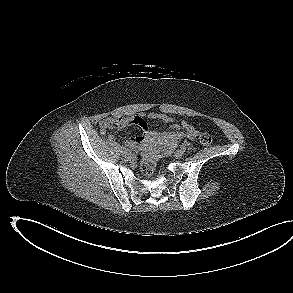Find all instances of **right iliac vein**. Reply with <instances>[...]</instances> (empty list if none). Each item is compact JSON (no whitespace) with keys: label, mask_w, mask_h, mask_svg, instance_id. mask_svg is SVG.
Returning <instances> with one entry per match:
<instances>
[{"label":"right iliac vein","mask_w":293,"mask_h":293,"mask_svg":"<svg viewBox=\"0 0 293 293\" xmlns=\"http://www.w3.org/2000/svg\"><path fill=\"white\" fill-rule=\"evenodd\" d=\"M122 155L124 156H130L132 154L131 150L125 148L121 151Z\"/></svg>","instance_id":"right-iliac-vein-1"}]
</instances>
